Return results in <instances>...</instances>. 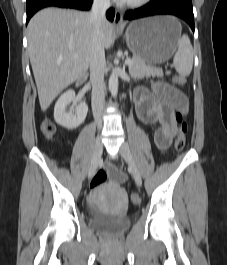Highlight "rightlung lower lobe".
<instances>
[{
  "mask_svg": "<svg viewBox=\"0 0 227 265\" xmlns=\"http://www.w3.org/2000/svg\"><path fill=\"white\" fill-rule=\"evenodd\" d=\"M93 0H26L27 5V21L40 9L50 6L62 8H75L80 10H88ZM107 18L112 21L114 19V10L109 9L106 13Z\"/></svg>",
  "mask_w": 227,
  "mask_h": 265,
  "instance_id": "obj_1",
  "label": "right lung lower lobe"
}]
</instances>
